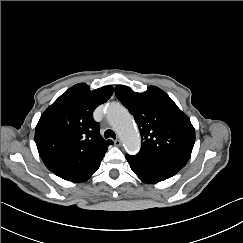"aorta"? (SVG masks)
Returning <instances> with one entry per match:
<instances>
[{
    "label": "aorta",
    "instance_id": "762f6f07",
    "mask_svg": "<svg viewBox=\"0 0 243 243\" xmlns=\"http://www.w3.org/2000/svg\"><path fill=\"white\" fill-rule=\"evenodd\" d=\"M107 118L118 132L125 149L129 153H137L140 139L127 110L120 104H111L107 109Z\"/></svg>",
    "mask_w": 243,
    "mask_h": 243
}]
</instances>
